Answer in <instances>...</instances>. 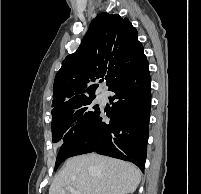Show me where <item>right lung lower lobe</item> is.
Returning <instances> with one entry per match:
<instances>
[{"label":"right lung lower lobe","instance_id":"98d812e1","mask_svg":"<svg viewBox=\"0 0 201 194\" xmlns=\"http://www.w3.org/2000/svg\"><path fill=\"white\" fill-rule=\"evenodd\" d=\"M151 78L146 57L108 90L112 104L110 122L103 113L64 141L59 154L64 158L97 152L130 161L144 171L151 103ZM114 101V102H112Z\"/></svg>","mask_w":201,"mask_h":194}]
</instances>
